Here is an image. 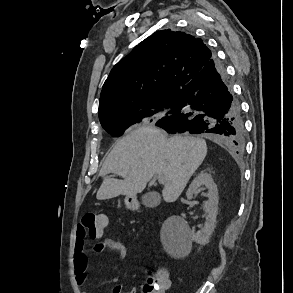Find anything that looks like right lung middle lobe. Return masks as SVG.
Wrapping results in <instances>:
<instances>
[{
	"label": "right lung middle lobe",
	"mask_w": 293,
	"mask_h": 293,
	"mask_svg": "<svg viewBox=\"0 0 293 293\" xmlns=\"http://www.w3.org/2000/svg\"><path fill=\"white\" fill-rule=\"evenodd\" d=\"M176 99L164 100L151 108L129 113V114H119V115H109L100 119L102 127L110 134L114 136H121L124 131L132 124L141 121H157L161 117L175 111L176 109Z\"/></svg>",
	"instance_id": "1"
}]
</instances>
